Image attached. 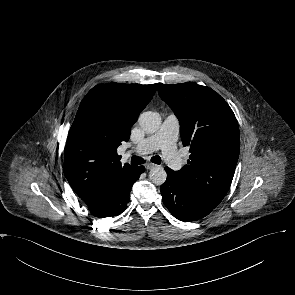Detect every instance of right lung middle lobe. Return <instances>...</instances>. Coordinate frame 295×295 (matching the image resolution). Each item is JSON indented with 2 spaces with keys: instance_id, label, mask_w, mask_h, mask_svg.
I'll list each match as a JSON object with an SVG mask.
<instances>
[{
  "instance_id": "obj_1",
  "label": "right lung middle lobe",
  "mask_w": 295,
  "mask_h": 295,
  "mask_svg": "<svg viewBox=\"0 0 295 295\" xmlns=\"http://www.w3.org/2000/svg\"><path fill=\"white\" fill-rule=\"evenodd\" d=\"M85 113L93 121H102L111 115V99L107 91L94 87L85 96Z\"/></svg>"
}]
</instances>
